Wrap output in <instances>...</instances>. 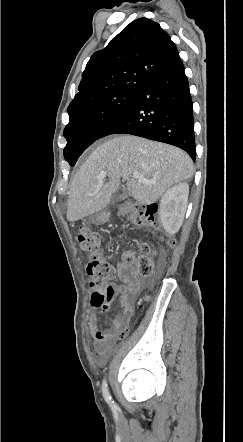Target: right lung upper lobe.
I'll return each mask as SVG.
<instances>
[{"instance_id":"right-lung-upper-lobe-1","label":"right lung upper lobe","mask_w":243,"mask_h":442,"mask_svg":"<svg viewBox=\"0 0 243 442\" xmlns=\"http://www.w3.org/2000/svg\"><path fill=\"white\" fill-rule=\"evenodd\" d=\"M178 50L160 25L145 17L127 25L88 61L68 113L119 91H137Z\"/></svg>"}]
</instances>
